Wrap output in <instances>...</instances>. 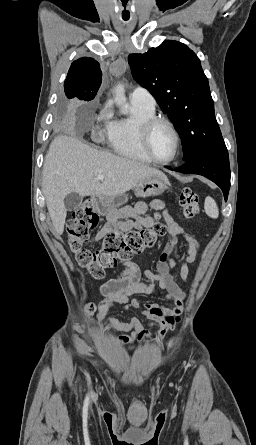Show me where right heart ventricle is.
<instances>
[{"label": "right heart ventricle", "instance_id": "1", "mask_svg": "<svg viewBox=\"0 0 256 445\" xmlns=\"http://www.w3.org/2000/svg\"><path fill=\"white\" fill-rule=\"evenodd\" d=\"M152 117H155V108H144L131 104L128 118L112 121L107 135L109 146L114 152L126 158L151 162L141 145L139 125Z\"/></svg>", "mask_w": 256, "mask_h": 445}]
</instances>
